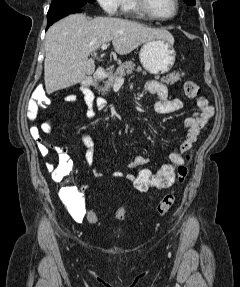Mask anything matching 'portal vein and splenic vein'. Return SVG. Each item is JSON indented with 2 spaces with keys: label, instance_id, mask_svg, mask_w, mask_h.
I'll use <instances>...</instances> for the list:
<instances>
[{
  "label": "portal vein and splenic vein",
  "instance_id": "obj_1",
  "mask_svg": "<svg viewBox=\"0 0 240 287\" xmlns=\"http://www.w3.org/2000/svg\"><path fill=\"white\" fill-rule=\"evenodd\" d=\"M108 46H109V44H103L101 46V50H103V51L106 50Z\"/></svg>",
  "mask_w": 240,
  "mask_h": 287
}]
</instances>
